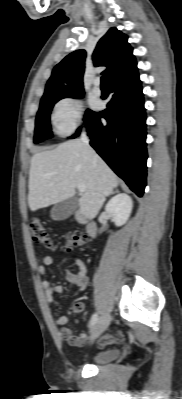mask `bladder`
<instances>
[{"instance_id": "obj_1", "label": "bladder", "mask_w": 182, "mask_h": 399, "mask_svg": "<svg viewBox=\"0 0 182 399\" xmlns=\"http://www.w3.org/2000/svg\"><path fill=\"white\" fill-rule=\"evenodd\" d=\"M119 356H120V351L118 349L102 351L93 355L91 358V362L94 364H103L114 361Z\"/></svg>"}]
</instances>
